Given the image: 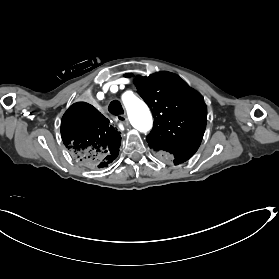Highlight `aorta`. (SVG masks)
Instances as JSON below:
<instances>
[{"label":"aorta","instance_id":"762f6f07","mask_svg":"<svg viewBox=\"0 0 279 279\" xmlns=\"http://www.w3.org/2000/svg\"><path fill=\"white\" fill-rule=\"evenodd\" d=\"M123 104L132 126L140 132H147L152 128L153 120L148 106L134 94H124Z\"/></svg>","mask_w":279,"mask_h":279}]
</instances>
